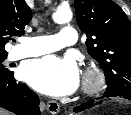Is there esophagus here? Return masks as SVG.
Instances as JSON below:
<instances>
[{
  "instance_id": "1",
  "label": "esophagus",
  "mask_w": 131,
  "mask_h": 115,
  "mask_svg": "<svg viewBox=\"0 0 131 115\" xmlns=\"http://www.w3.org/2000/svg\"><path fill=\"white\" fill-rule=\"evenodd\" d=\"M47 110L51 113V114H57L60 110V106L56 101H48L47 102Z\"/></svg>"
}]
</instances>
